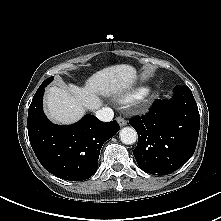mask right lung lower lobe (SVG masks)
<instances>
[{"mask_svg":"<svg viewBox=\"0 0 221 221\" xmlns=\"http://www.w3.org/2000/svg\"><path fill=\"white\" fill-rule=\"evenodd\" d=\"M43 82L28 110V135L32 149L41 165L51 174L70 181L90 178L97 170L99 153L104 142L120 129L118 123L101 122L86 115L69 125L52 124L44 115Z\"/></svg>","mask_w":221,"mask_h":221,"instance_id":"right-lung-lower-lobe-1","label":"right lung lower lobe"}]
</instances>
